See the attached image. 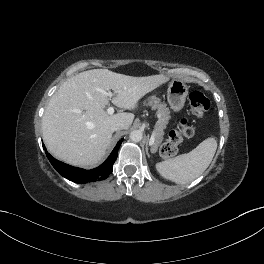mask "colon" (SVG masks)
<instances>
[{"mask_svg": "<svg viewBox=\"0 0 264 264\" xmlns=\"http://www.w3.org/2000/svg\"><path fill=\"white\" fill-rule=\"evenodd\" d=\"M190 111L196 117H202L210 108L209 99L200 91H192L188 97ZM194 135V127L188 119H182L177 130L169 133L167 141L161 147V155L164 158L174 156L178 150L179 144L184 138H190Z\"/></svg>", "mask_w": 264, "mask_h": 264, "instance_id": "obj_1", "label": "colon"}]
</instances>
